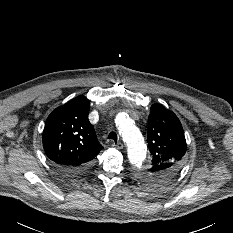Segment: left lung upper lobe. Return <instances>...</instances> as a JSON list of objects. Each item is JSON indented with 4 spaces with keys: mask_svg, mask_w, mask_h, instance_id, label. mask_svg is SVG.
<instances>
[{
    "mask_svg": "<svg viewBox=\"0 0 233 233\" xmlns=\"http://www.w3.org/2000/svg\"><path fill=\"white\" fill-rule=\"evenodd\" d=\"M150 111L147 138L152 160L141 176L152 184H160L178 173L187 146L182 125L172 111L158 103Z\"/></svg>",
    "mask_w": 233,
    "mask_h": 233,
    "instance_id": "obj_1",
    "label": "left lung upper lobe"
}]
</instances>
